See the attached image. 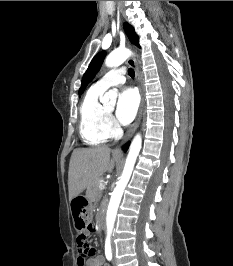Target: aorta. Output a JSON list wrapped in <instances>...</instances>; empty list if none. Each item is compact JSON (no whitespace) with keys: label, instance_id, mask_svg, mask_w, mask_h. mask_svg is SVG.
Returning <instances> with one entry per match:
<instances>
[{"label":"aorta","instance_id":"aorta-1","mask_svg":"<svg viewBox=\"0 0 233 266\" xmlns=\"http://www.w3.org/2000/svg\"><path fill=\"white\" fill-rule=\"evenodd\" d=\"M132 52L126 48H119L114 50L111 54H109L105 59V64L107 67H118L126 59L131 56ZM117 93L114 90H109L105 95L100 98V101L103 104H111L114 105L116 102ZM142 146V138L141 135L138 133L134 137L129 153L126 158L125 166L120 177V180L117 182V185L112 192L110 202L107 209L106 215V226H107V237H110L114 228V223L117 215V210L125 190L127 183L131 177L137 156L140 152Z\"/></svg>","mask_w":233,"mask_h":266}]
</instances>
